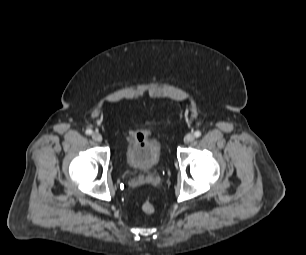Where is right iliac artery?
I'll list each match as a JSON object with an SVG mask.
<instances>
[{
	"instance_id": "82829eb1",
	"label": "right iliac artery",
	"mask_w": 306,
	"mask_h": 255,
	"mask_svg": "<svg viewBox=\"0 0 306 255\" xmlns=\"http://www.w3.org/2000/svg\"><path fill=\"white\" fill-rule=\"evenodd\" d=\"M92 132H93V131H92L91 129H87V130H86V134H87V135H91Z\"/></svg>"
}]
</instances>
